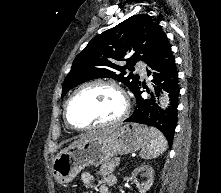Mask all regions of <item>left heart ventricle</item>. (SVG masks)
<instances>
[{"label":"left heart ventricle","mask_w":221,"mask_h":193,"mask_svg":"<svg viewBox=\"0 0 221 193\" xmlns=\"http://www.w3.org/2000/svg\"><path fill=\"white\" fill-rule=\"evenodd\" d=\"M122 99L112 87L95 85L81 90L69 106V118L85 127L116 118L122 110Z\"/></svg>","instance_id":"1"}]
</instances>
